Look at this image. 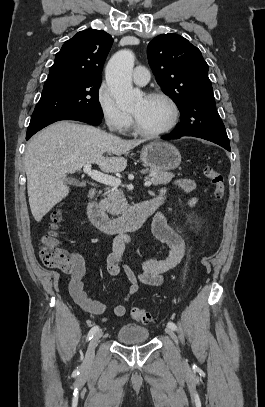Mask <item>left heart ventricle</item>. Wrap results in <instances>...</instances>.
<instances>
[{"label": "left heart ventricle", "instance_id": "1", "mask_svg": "<svg viewBox=\"0 0 265 407\" xmlns=\"http://www.w3.org/2000/svg\"><path fill=\"white\" fill-rule=\"evenodd\" d=\"M140 128L146 131H157L165 128L172 118V110L167 102L161 99L140 98L131 110Z\"/></svg>", "mask_w": 265, "mask_h": 407}]
</instances>
